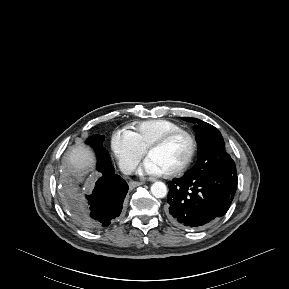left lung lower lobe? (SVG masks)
Here are the masks:
<instances>
[{
    "label": "left lung lower lobe",
    "mask_w": 289,
    "mask_h": 289,
    "mask_svg": "<svg viewBox=\"0 0 289 289\" xmlns=\"http://www.w3.org/2000/svg\"><path fill=\"white\" fill-rule=\"evenodd\" d=\"M237 175L225 166L168 182L167 217L180 228L202 229L226 214L237 188Z\"/></svg>",
    "instance_id": "obj_1"
}]
</instances>
